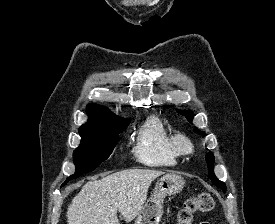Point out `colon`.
<instances>
[{"label":"colon","instance_id":"1","mask_svg":"<svg viewBox=\"0 0 275 224\" xmlns=\"http://www.w3.org/2000/svg\"><path fill=\"white\" fill-rule=\"evenodd\" d=\"M214 205L213 198L210 194L202 192L187 198L177 212V224H192L197 213H205L212 210Z\"/></svg>","mask_w":275,"mask_h":224}]
</instances>
